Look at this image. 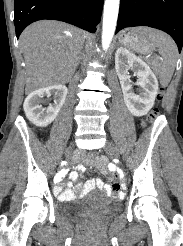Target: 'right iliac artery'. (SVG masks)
I'll list each match as a JSON object with an SVG mask.
<instances>
[{
	"label": "right iliac artery",
	"mask_w": 183,
	"mask_h": 246,
	"mask_svg": "<svg viewBox=\"0 0 183 246\" xmlns=\"http://www.w3.org/2000/svg\"><path fill=\"white\" fill-rule=\"evenodd\" d=\"M65 173H64V171L62 170L61 172H59L56 176H55V178H54V182L56 183L61 177H62V175H64Z\"/></svg>",
	"instance_id": "82829eb1"
}]
</instances>
